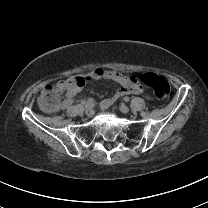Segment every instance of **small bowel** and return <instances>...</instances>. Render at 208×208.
Wrapping results in <instances>:
<instances>
[{
    "instance_id": "obj_1",
    "label": "small bowel",
    "mask_w": 208,
    "mask_h": 208,
    "mask_svg": "<svg viewBox=\"0 0 208 208\" xmlns=\"http://www.w3.org/2000/svg\"><path fill=\"white\" fill-rule=\"evenodd\" d=\"M101 77L114 80L121 85L120 89L102 100V109H109L118 99L126 95L140 94L143 92V88L137 83V81L133 77L117 71L106 70L104 68L98 67L90 73L71 76L67 78L70 80L73 90L70 97L64 100L62 109H69V106L72 104L74 97L78 92L83 89L87 81L98 79Z\"/></svg>"
}]
</instances>
